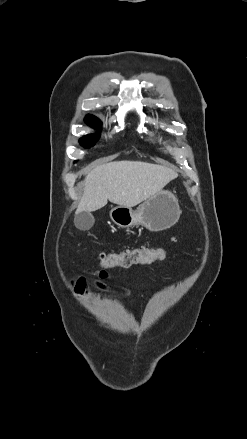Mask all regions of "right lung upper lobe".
<instances>
[{
	"label": "right lung upper lobe",
	"mask_w": 247,
	"mask_h": 439,
	"mask_svg": "<svg viewBox=\"0 0 247 439\" xmlns=\"http://www.w3.org/2000/svg\"><path fill=\"white\" fill-rule=\"evenodd\" d=\"M86 117H94V116H92V115H88V116H86Z\"/></svg>",
	"instance_id": "1"
}]
</instances>
